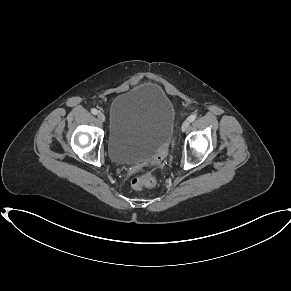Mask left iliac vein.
Listing matches in <instances>:
<instances>
[{
	"label": "left iliac vein",
	"instance_id": "obj_1",
	"mask_svg": "<svg viewBox=\"0 0 291 291\" xmlns=\"http://www.w3.org/2000/svg\"><path fill=\"white\" fill-rule=\"evenodd\" d=\"M190 125V121L189 120H185L183 123H182V126H181V130L184 132L188 129Z\"/></svg>",
	"mask_w": 291,
	"mask_h": 291
}]
</instances>
